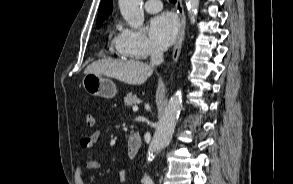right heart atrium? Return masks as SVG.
<instances>
[{
	"instance_id": "d8ad5b80",
	"label": "right heart atrium",
	"mask_w": 293,
	"mask_h": 184,
	"mask_svg": "<svg viewBox=\"0 0 293 184\" xmlns=\"http://www.w3.org/2000/svg\"><path fill=\"white\" fill-rule=\"evenodd\" d=\"M115 38L118 49L128 56L146 58L159 52L150 39L139 30L122 27Z\"/></svg>"
}]
</instances>
